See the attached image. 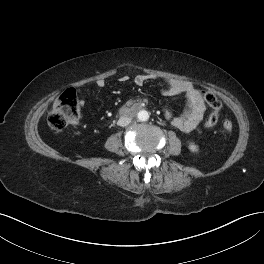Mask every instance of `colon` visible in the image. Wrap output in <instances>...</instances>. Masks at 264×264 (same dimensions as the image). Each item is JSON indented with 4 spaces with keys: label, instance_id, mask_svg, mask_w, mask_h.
Masks as SVG:
<instances>
[{
    "label": "colon",
    "instance_id": "1",
    "mask_svg": "<svg viewBox=\"0 0 264 264\" xmlns=\"http://www.w3.org/2000/svg\"><path fill=\"white\" fill-rule=\"evenodd\" d=\"M202 96L212 109L204 125L205 127L214 126L219 118L222 104L218 97L209 90H203ZM80 114V109L77 101V96L74 90L69 89L63 92L55 101L53 108L48 117V124L54 131H61L70 123L75 122ZM222 128L226 133H231L233 123L230 120H225Z\"/></svg>",
    "mask_w": 264,
    "mask_h": 264
}]
</instances>
